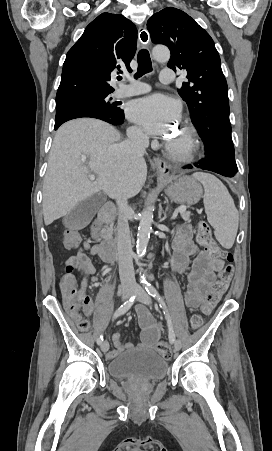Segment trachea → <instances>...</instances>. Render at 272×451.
Listing matches in <instances>:
<instances>
[{
    "label": "trachea",
    "mask_w": 272,
    "mask_h": 451,
    "mask_svg": "<svg viewBox=\"0 0 272 451\" xmlns=\"http://www.w3.org/2000/svg\"><path fill=\"white\" fill-rule=\"evenodd\" d=\"M137 61H138V71L135 75V78L141 77L145 73H149L152 71V62L148 50H140V52L137 55Z\"/></svg>",
    "instance_id": "trachea-1"
}]
</instances>
